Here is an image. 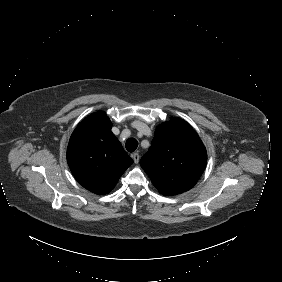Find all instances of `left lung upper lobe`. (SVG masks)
<instances>
[{
	"instance_id": "5c2ea615",
	"label": "left lung upper lobe",
	"mask_w": 282,
	"mask_h": 282,
	"mask_svg": "<svg viewBox=\"0 0 282 282\" xmlns=\"http://www.w3.org/2000/svg\"><path fill=\"white\" fill-rule=\"evenodd\" d=\"M207 163L201 139L184 120L174 118L159 125L140 165L162 194L176 195L191 189Z\"/></svg>"
}]
</instances>
